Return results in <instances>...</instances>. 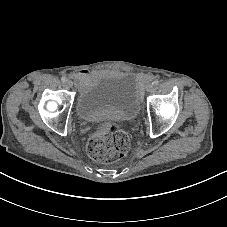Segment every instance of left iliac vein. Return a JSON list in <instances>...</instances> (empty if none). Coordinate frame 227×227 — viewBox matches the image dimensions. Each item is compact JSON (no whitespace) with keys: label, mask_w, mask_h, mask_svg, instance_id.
Masks as SVG:
<instances>
[{"label":"left iliac vein","mask_w":227,"mask_h":227,"mask_svg":"<svg viewBox=\"0 0 227 227\" xmlns=\"http://www.w3.org/2000/svg\"><path fill=\"white\" fill-rule=\"evenodd\" d=\"M146 88H147L148 91H150V90L153 89V85H152V84H148V85L146 86Z\"/></svg>","instance_id":"obj_1"}]
</instances>
